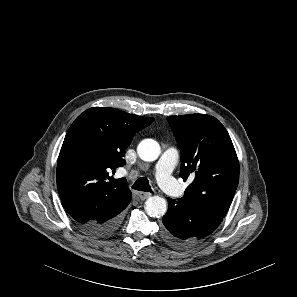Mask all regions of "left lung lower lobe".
<instances>
[{
  "label": "left lung lower lobe",
  "instance_id": "0a47b994",
  "mask_svg": "<svg viewBox=\"0 0 297 297\" xmlns=\"http://www.w3.org/2000/svg\"><path fill=\"white\" fill-rule=\"evenodd\" d=\"M189 217H191V212L187 209V205L181 203L180 199L176 201L168 198V211L162 219L164 224L162 227V236L168 244L174 247L185 248L205 237L192 235L188 227ZM220 222L216 225L215 229Z\"/></svg>",
  "mask_w": 297,
  "mask_h": 297
}]
</instances>
